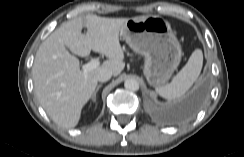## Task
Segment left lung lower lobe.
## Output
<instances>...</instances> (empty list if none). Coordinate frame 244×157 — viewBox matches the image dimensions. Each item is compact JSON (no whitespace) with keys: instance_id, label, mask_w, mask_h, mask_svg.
Returning a JSON list of instances; mask_svg holds the SVG:
<instances>
[{"instance_id":"left-lung-lower-lobe-1","label":"left lung lower lobe","mask_w":244,"mask_h":157,"mask_svg":"<svg viewBox=\"0 0 244 157\" xmlns=\"http://www.w3.org/2000/svg\"><path fill=\"white\" fill-rule=\"evenodd\" d=\"M203 95L204 91L199 89L185 97L180 102L177 109L179 118H187L192 116L200 107Z\"/></svg>"}]
</instances>
